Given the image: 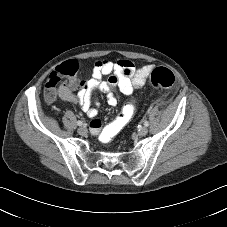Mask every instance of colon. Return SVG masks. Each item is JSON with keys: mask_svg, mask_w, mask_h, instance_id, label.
<instances>
[{"mask_svg": "<svg viewBox=\"0 0 227 227\" xmlns=\"http://www.w3.org/2000/svg\"><path fill=\"white\" fill-rule=\"evenodd\" d=\"M78 65L75 61H69L60 69L54 70L48 77L46 84L45 97L52 100L56 93L55 88L58 84H71L77 75ZM150 84L155 88L172 87L176 81L174 73L166 67H158L150 74ZM137 111L136 99L132 98L126 103L122 112L116 117L115 121L100 134L104 142L111 141L133 118Z\"/></svg>", "mask_w": 227, "mask_h": 227, "instance_id": "obj_1", "label": "colon"}]
</instances>
